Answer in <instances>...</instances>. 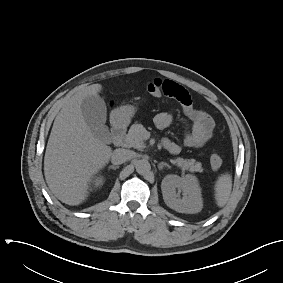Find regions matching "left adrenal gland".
I'll list each match as a JSON object with an SVG mask.
<instances>
[{
  "instance_id": "left-adrenal-gland-1",
  "label": "left adrenal gland",
  "mask_w": 283,
  "mask_h": 283,
  "mask_svg": "<svg viewBox=\"0 0 283 283\" xmlns=\"http://www.w3.org/2000/svg\"><path fill=\"white\" fill-rule=\"evenodd\" d=\"M163 167L171 168L170 165H168V164L165 163V162H161V163L158 164V169H159V170H162Z\"/></svg>"
}]
</instances>
